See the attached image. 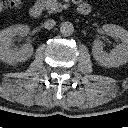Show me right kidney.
<instances>
[{
    "label": "right kidney",
    "mask_w": 128,
    "mask_h": 128,
    "mask_svg": "<svg viewBox=\"0 0 128 128\" xmlns=\"http://www.w3.org/2000/svg\"><path fill=\"white\" fill-rule=\"evenodd\" d=\"M30 31L27 25H14L0 31V60L14 64L28 60L33 55V47L30 44H24L16 47L12 43L14 36L24 37Z\"/></svg>",
    "instance_id": "1"
}]
</instances>
